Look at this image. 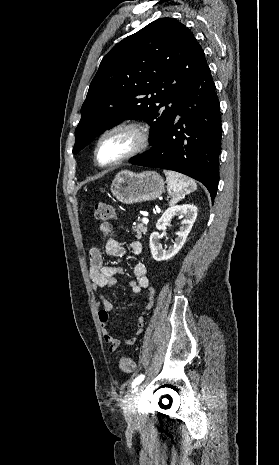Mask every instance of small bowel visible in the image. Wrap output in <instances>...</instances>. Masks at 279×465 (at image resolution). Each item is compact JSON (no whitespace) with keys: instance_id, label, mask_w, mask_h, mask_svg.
I'll use <instances>...</instances> for the list:
<instances>
[{"instance_id":"1","label":"small bowel","mask_w":279,"mask_h":465,"mask_svg":"<svg viewBox=\"0 0 279 465\" xmlns=\"http://www.w3.org/2000/svg\"><path fill=\"white\" fill-rule=\"evenodd\" d=\"M102 239L105 241L104 252L109 257H122L126 250L123 243L115 235L113 226L110 222H102L99 226ZM129 250L134 255H140L142 244L139 241H132L129 244ZM123 273L119 266H109L104 264L103 253L100 248L93 246L89 249V276L92 281V288L99 291L103 288H110L117 282L116 276ZM135 280L130 282V288L133 293L138 294L143 289H148L147 303L145 309H150L154 302V292L150 287L146 267L143 263H136L133 266ZM112 303L102 294L98 295V320L103 334V339L107 344L109 352H115L121 344V340L113 336L108 329L109 312L112 309ZM145 321V311L137 317L136 334L133 337L124 340L126 345H132L136 342L137 337L143 331Z\"/></svg>"}]
</instances>
